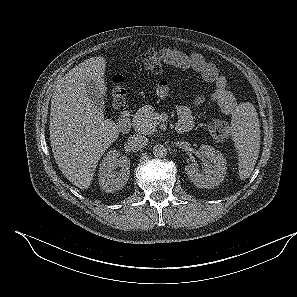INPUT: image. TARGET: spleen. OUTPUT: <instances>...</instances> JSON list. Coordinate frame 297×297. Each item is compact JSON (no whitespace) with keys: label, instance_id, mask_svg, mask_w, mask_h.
Segmentation results:
<instances>
[{"label":"spleen","instance_id":"obj_1","mask_svg":"<svg viewBox=\"0 0 297 297\" xmlns=\"http://www.w3.org/2000/svg\"><path fill=\"white\" fill-rule=\"evenodd\" d=\"M231 126L239 177L245 180L254 170L260 149V125L255 107L250 103L240 105L232 116Z\"/></svg>","mask_w":297,"mask_h":297}]
</instances>
